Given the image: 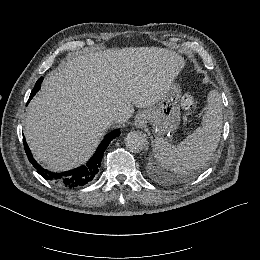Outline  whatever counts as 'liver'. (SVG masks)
Segmentation results:
<instances>
[{"mask_svg":"<svg viewBox=\"0 0 260 260\" xmlns=\"http://www.w3.org/2000/svg\"><path fill=\"white\" fill-rule=\"evenodd\" d=\"M184 68L179 55L154 47L79 54L51 72L30 102L24 120L27 143L48 168H72L99 143L108 112L123 123L133 106H155Z\"/></svg>","mask_w":260,"mask_h":260,"instance_id":"obj_1","label":"liver"}]
</instances>
